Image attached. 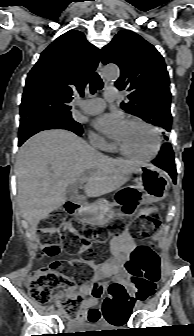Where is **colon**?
<instances>
[{
  "label": "colon",
  "mask_w": 194,
  "mask_h": 336,
  "mask_svg": "<svg viewBox=\"0 0 194 336\" xmlns=\"http://www.w3.org/2000/svg\"><path fill=\"white\" fill-rule=\"evenodd\" d=\"M120 226V222L115 223ZM160 228V221L154 216L152 207H147L142 215L130 227V233L135 238L148 237L155 234ZM77 229L74 222L66 220V214L62 210L50 213L41 221L38 231L42 237L44 252L47 256L59 254L62 242L65 239V246L70 252H79L82 255L80 260L72 261L71 264L79 266L80 271H84L86 266L98 258L104 251L105 241L100 237L92 239L88 235L74 234ZM68 233V235H67ZM67 236V237H66ZM155 251L153 246L140 245L133 254L131 262L127 265L129 270V281L134 284L138 278L149 286L159 279V273L155 265ZM63 263H54L48 268H42L26 281L31 298L37 303H47L54 291H70L75 287L72 277L65 275L61 269ZM101 286H96L92 290L94 297H100ZM109 297L104 301L103 308L106 312V319L114 324L119 319L116 300L122 297L124 302L132 304L135 299L143 298L142 295L134 296L127 292L124 285L119 282H111L107 286ZM82 304V296L78 293L65 297L60 301V306L65 313L75 318L78 316Z\"/></svg>",
  "instance_id": "obj_1"
}]
</instances>
